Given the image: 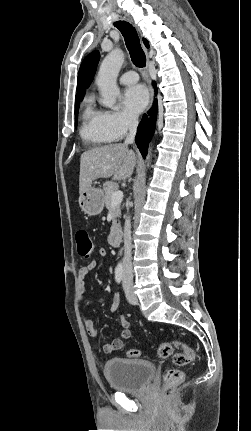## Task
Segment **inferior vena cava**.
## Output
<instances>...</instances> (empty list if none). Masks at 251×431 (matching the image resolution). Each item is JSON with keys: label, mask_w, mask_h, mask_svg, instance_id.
Masks as SVG:
<instances>
[{"label": "inferior vena cava", "mask_w": 251, "mask_h": 431, "mask_svg": "<svg viewBox=\"0 0 251 431\" xmlns=\"http://www.w3.org/2000/svg\"><path fill=\"white\" fill-rule=\"evenodd\" d=\"M138 118L134 115L128 117L129 133L126 136L125 144L133 143L136 136ZM131 222L128 217L124 225V259H123V279L125 281L133 279L132 255H131Z\"/></svg>", "instance_id": "obj_1"}]
</instances>
